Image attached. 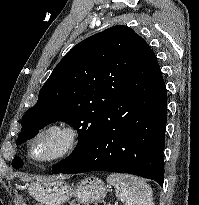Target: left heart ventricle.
Listing matches in <instances>:
<instances>
[{"instance_id": "1", "label": "left heart ventricle", "mask_w": 199, "mask_h": 205, "mask_svg": "<svg viewBox=\"0 0 199 205\" xmlns=\"http://www.w3.org/2000/svg\"><path fill=\"white\" fill-rule=\"evenodd\" d=\"M55 147V140L53 138H48L39 144L35 149V154L40 157L50 153Z\"/></svg>"}]
</instances>
